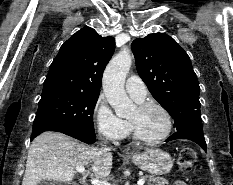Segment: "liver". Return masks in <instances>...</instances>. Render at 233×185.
<instances>
[{
    "label": "liver",
    "instance_id": "liver-1",
    "mask_svg": "<svg viewBox=\"0 0 233 185\" xmlns=\"http://www.w3.org/2000/svg\"><path fill=\"white\" fill-rule=\"evenodd\" d=\"M89 163L95 177L104 179L112 169V153L47 131L37 136L29 148L22 185H37L42 180L70 182L76 166Z\"/></svg>",
    "mask_w": 233,
    "mask_h": 185
}]
</instances>
